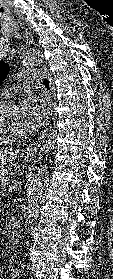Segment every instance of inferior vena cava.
Listing matches in <instances>:
<instances>
[{"label":"inferior vena cava","mask_w":113,"mask_h":279,"mask_svg":"<svg viewBox=\"0 0 113 279\" xmlns=\"http://www.w3.org/2000/svg\"><path fill=\"white\" fill-rule=\"evenodd\" d=\"M20 265H21V268H24V266H23V264H22V263H21Z\"/></svg>","instance_id":"obj_1"}]
</instances>
